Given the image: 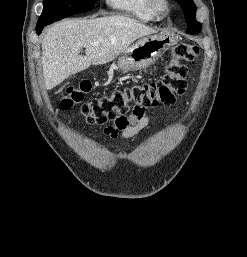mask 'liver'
Wrapping results in <instances>:
<instances>
[{
	"label": "liver",
	"instance_id": "6515ba94",
	"mask_svg": "<svg viewBox=\"0 0 247 257\" xmlns=\"http://www.w3.org/2000/svg\"><path fill=\"white\" fill-rule=\"evenodd\" d=\"M156 31L120 15L93 19H69L51 26L42 40V68L46 89L70 75L115 59L138 38ZM96 43V46L91 45ZM85 48V56L80 50Z\"/></svg>",
	"mask_w": 247,
	"mask_h": 257
}]
</instances>
